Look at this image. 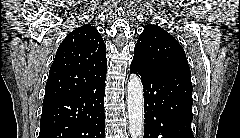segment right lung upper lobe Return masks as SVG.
<instances>
[{
    "mask_svg": "<svg viewBox=\"0 0 240 138\" xmlns=\"http://www.w3.org/2000/svg\"><path fill=\"white\" fill-rule=\"evenodd\" d=\"M106 46L94 26L83 25L60 44L50 68L44 102L89 90L106 78Z\"/></svg>",
    "mask_w": 240,
    "mask_h": 138,
    "instance_id": "cb5924a9",
    "label": "right lung upper lobe"
}]
</instances>
